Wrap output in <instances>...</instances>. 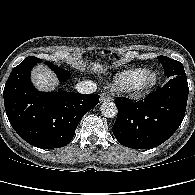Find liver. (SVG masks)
<instances>
[{
    "mask_svg": "<svg viewBox=\"0 0 195 195\" xmlns=\"http://www.w3.org/2000/svg\"><path fill=\"white\" fill-rule=\"evenodd\" d=\"M92 69L96 72L103 71L104 66L100 63H95ZM32 81L34 85L43 91L54 90L57 85V80L54 74L45 66H38L32 72Z\"/></svg>",
    "mask_w": 195,
    "mask_h": 195,
    "instance_id": "liver-1",
    "label": "liver"
}]
</instances>
